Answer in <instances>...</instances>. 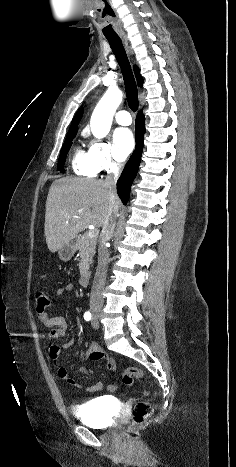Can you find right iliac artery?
<instances>
[{"instance_id": "82829eb1", "label": "right iliac artery", "mask_w": 236, "mask_h": 467, "mask_svg": "<svg viewBox=\"0 0 236 467\" xmlns=\"http://www.w3.org/2000/svg\"><path fill=\"white\" fill-rule=\"evenodd\" d=\"M84 319L86 321H90L92 319V315H91V313L89 311L85 312Z\"/></svg>"}]
</instances>
